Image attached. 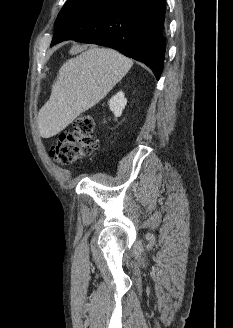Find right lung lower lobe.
Here are the masks:
<instances>
[{
    "label": "right lung lower lobe",
    "mask_w": 233,
    "mask_h": 328,
    "mask_svg": "<svg viewBox=\"0 0 233 328\" xmlns=\"http://www.w3.org/2000/svg\"><path fill=\"white\" fill-rule=\"evenodd\" d=\"M165 0H93L55 23L63 40L114 48L145 63L157 80L165 57Z\"/></svg>",
    "instance_id": "98d812e1"
}]
</instances>
